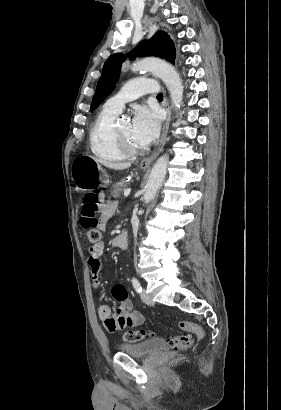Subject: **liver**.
I'll list each match as a JSON object with an SVG mask.
<instances>
[{"label":"liver","mask_w":281,"mask_h":410,"mask_svg":"<svg viewBox=\"0 0 281 410\" xmlns=\"http://www.w3.org/2000/svg\"><path fill=\"white\" fill-rule=\"evenodd\" d=\"M96 159V158H95ZM100 164H103L105 167L114 169V170H124L127 169L131 166L130 162L126 163H114V162H109V161H104L100 159H96Z\"/></svg>","instance_id":"6515ba94"}]
</instances>
